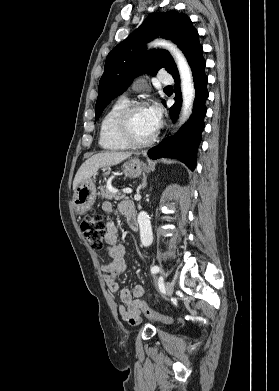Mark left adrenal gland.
<instances>
[{"label":"left adrenal gland","instance_id":"1","mask_svg":"<svg viewBox=\"0 0 279 391\" xmlns=\"http://www.w3.org/2000/svg\"><path fill=\"white\" fill-rule=\"evenodd\" d=\"M146 179H147L146 177L143 178L142 184H141L140 188H143V189L146 188V186H147V181H146Z\"/></svg>","mask_w":279,"mask_h":391}]
</instances>
